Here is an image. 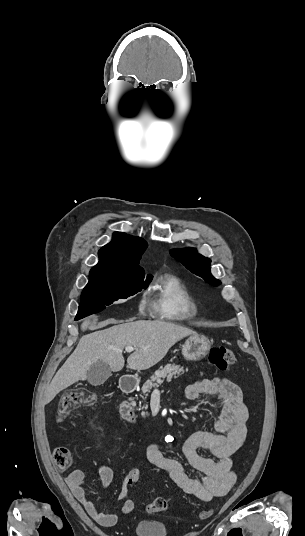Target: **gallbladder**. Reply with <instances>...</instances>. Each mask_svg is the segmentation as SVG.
Listing matches in <instances>:
<instances>
[{
  "mask_svg": "<svg viewBox=\"0 0 305 536\" xmlns=\"http://www.w3.org/2000/svg\"><path fill=\"white\" fill-rule=\"evenodd\" d=\"M110 376H112V374L109 364L99 360V362L90 366L87 372V382L92 384V386H101V384H104Z\"/></svg>",
  "mask_w": 305,
  "mask_h": 536,
  "instance_id": "bac80fb5",
  "label": "gallbladder"
}]
</instances>
